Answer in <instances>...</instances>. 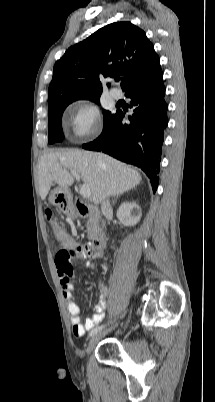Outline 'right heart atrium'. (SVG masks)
Here are the masks:
<instances>
[{
    "label": "right heart atrium",
    "instance_id": "obj_1",
    "mask_svg": "<svg viewBox=\"0 0 215 402\" xmlns=\"http://www.w3.org/2000/svg\"><path fill=\"white\" fill-rule=\"evenodd\" d=\"M70 132L79 141L92 138L99 130L100 111L88 100L74 102L70 109Z\"/></svg>",
    "mask_w": 215,
    "mask_h": 402
}]
</instances>
